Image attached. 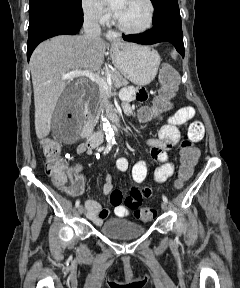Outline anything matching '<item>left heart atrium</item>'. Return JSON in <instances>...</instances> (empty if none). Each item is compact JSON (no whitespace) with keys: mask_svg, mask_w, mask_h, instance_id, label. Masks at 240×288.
I'll return each mask as SVG.
<instances>
[{"mask_svg":"<svg viewBox=\"0 0 240 288\" xmlns=\"http://www.w3.org/2000/svg\"><path fill=\"white\" fill-rule=\"evenodd\" d=\"M126 0H105L113 12L118 16L122 11Z\"/></svg>","mask_w":240,"mask_h":288,"instance_id":"1","label":"left heart atrium"}]
</instances>
